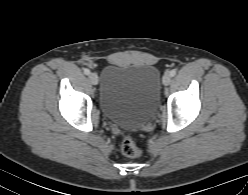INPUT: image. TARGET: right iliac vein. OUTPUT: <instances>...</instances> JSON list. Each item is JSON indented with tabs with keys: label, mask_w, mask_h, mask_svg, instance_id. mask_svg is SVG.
Returning <instances> with one entry per match:
<instances>
[{
	"label": "right iliac vein",
	"mask_w": 248,
	"mask_h": 195,
	"mask_svg": "<svg viewBox=\"0 0 248 195\" xmlns=\"http://www.w3.org/2000/svg\"><path fill=\"white\" fill-rule=\"evenodd\" d=\"M89 80L94 85L98 84V75L96 73H90Z\"/></svg>",
	"instance_id": "63e3f726"
}]
</instances>
